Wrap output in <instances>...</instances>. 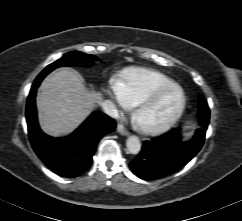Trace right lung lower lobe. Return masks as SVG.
<instances>
[{
	"mask_svg": "<svg viewBox=\"0 0 242 221\" xmlns=\"http://www.w3.org/2000/svg\"><path fill=\"white\" fill-rule=\"evenodd\" d=\"M43 78H36L27 99L26 120L31 145L39 158L60 176L73 178L83 174L92 164L98 141L115 130V121L94 112L74 133L66 138H52L39 128L35 107L36 89Z\"/></svg>",
	"mask_w": 242,
	"mask_h": 221,
	"instance_id": "1",
	"label": "right lung lower lobe"
}]
</instances>
